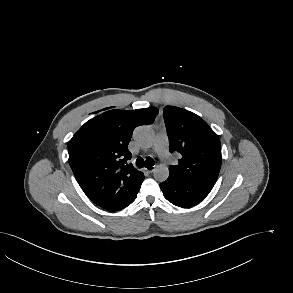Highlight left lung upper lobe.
Masks as SVG:
<instances>
[{"label": "left lung upper lobe", "mask_w": 293, "mask_h": 293, "mask_svg": "<svg viewBox=\"0 0 293 293\" xmlns=\"http://www.w3.org/2000/svg\"><path fill=\"white\" fill-rule=\"evenodd\" d=\"M163 112L170 152L181 154L178 164L169 167V176L214 186L222 161L218 135L190 111L166 106Z\"/></svg>", "instance_id": "obj_1"}]
</instances>
